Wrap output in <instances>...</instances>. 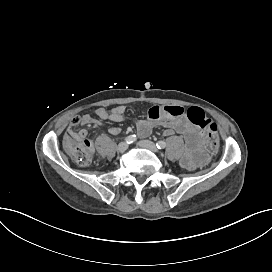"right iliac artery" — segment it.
Masks as SVG:
<instances>
[{
	"label": "right iliac artery",
	"mask_w": 272,
	"mask_h": 272,
	"mask_svg": "<svg viewBox=\"0 0 272 272\" xmlns=\"http://www.w3.org/2000/svg\"><path fill=\"white\" fill-rule=\"evenodd\" d=\"M136 140H137V137L135 134L129 135L125 138V141L127 144H131V143L135 142Z\"/></svg>",
	"instance_id": "obj_1"
}]
</instances>
